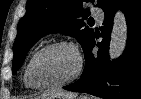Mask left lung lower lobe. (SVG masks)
<instances>
[{
    "mask_svg": "<svg viewBox=\"0 0 141 99\" xmlns=\"http://www.w3.org/2000/svg\"><path fill=\"white\" fill-rule=\"evenodd\" d=\"M117 8L125 16L128 37L124 53L110 61L108 55L113 17ZM105 19L97 44L98 54L93 55L95 35L85 48V68L81 78L64 87L74 92H84L104 99H139L141 91V0H115L104 10Z\"/></svg>",
    "mask_w": 141,
    "mask_h": 99,
    "instance_id": "0a47b994",
    "label": "left lung lower lobe"
}]
</instances>
